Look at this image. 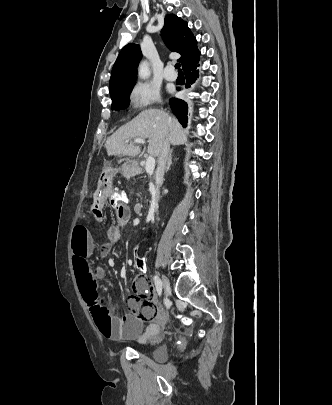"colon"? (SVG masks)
I'll use <instances>...</instances> for the list:
<instances>
[{"instance_id": "1", "label": "colon", "mask_w": 332, "mask_h": 405, "mask_svg": "<svg viewBox=\"0 0 332 405\" xmlns=\"http://www.w3.org/2000/svg\"><path fill=\"white\" fill-rule=\"evenodd\" d=\"M110 191L112 192L110 210L112 212H123L124 206L128 202V195L125 193L123 184H111ZM132 263L134 270H139L141 273L147 272L145 258H134ZM185 320L187 321L188 319L186 318ZM185 324L188 326L190 323L187 321Z\"/></svg>"}]
</instances>
